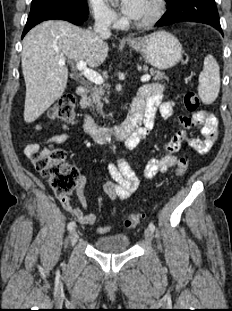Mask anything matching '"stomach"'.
Here are the masks:
<instances>
[{
  "label": "stomach",
  "mask_w": 232,
  "mask_h": 311,
  "mask_svg": "<svg viewBox=\"0 0 232 311\" xmlns=\"http://www.w3.org/2000/svg\"><path fill=\"white\" fill-rule=\"evenodd\" d=\"M127 44L140 52L148 64L161 70L177 65L183 55L179 40L166 31L154 32Z\"/></svg>",
  "instance_id": "1"
}]
</instances>
